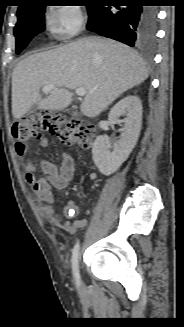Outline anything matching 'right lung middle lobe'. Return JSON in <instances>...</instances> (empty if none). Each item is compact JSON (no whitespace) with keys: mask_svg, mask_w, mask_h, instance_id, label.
Returning a JSON list of instances; mask_svg holds the SVG:
<instances>
[{"mask_svg":"<svg viewBox=\"0 0 184 327\" xmlns=\"http://www.w3.org/2000/svg\"><path fill=\"white\" fill-rule=\"evenodd\" d=\"M45 7L38 3L17 12L18 21L15 25L14 35L16 38V52L18 54L28 45L34 36L44 31ZM92 7L87 6L88 13Z\"/></svg>","mask_w":184,"mask_h":327,"instance_id":"obj_1","label":"right lung middle lobe"}]
</instances>
